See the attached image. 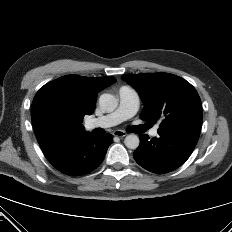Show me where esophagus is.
I'll return each instance as SVG.
<instances>
[{"label":"esophagus","mask_w":232,"mask_h":232,"mask_svg":"<svg viewBox=\"0 0 232 232\" xmlns=\"http://www.w3.org/2000/svg\"><path fill=\"white\" fill-rule=\"evenodd\" d=\"M113 135L116 136V137H125L126 136V132H124L123 130H115L113 132Z\"/></svg>","instance_id":"obj_1"}]
</instances>
